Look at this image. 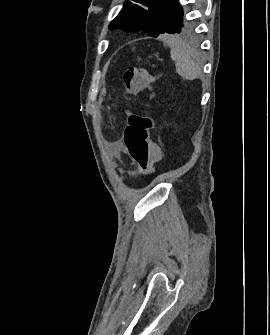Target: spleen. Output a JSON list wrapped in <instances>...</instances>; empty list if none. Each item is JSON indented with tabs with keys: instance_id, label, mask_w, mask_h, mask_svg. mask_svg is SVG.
<instances>
[{
	"instance_id": "spleen-1",
	"label": "spleen",
	"mask_w": 270,
	"mask_h": 335,
	"mask_svg": "<svg viewBox=\"0 0 270 335\" xmlns=\"http://www.w3.org/2000/svg\"><path fill=\"white\" fill-rule=\"evenodd\" d=\"M170 48V58L176 66L177 74L182 76L184 80H195L199 76L201 68H199V64L191 60L186 42L180 38H173L170 42Z\"/></svg>"
}]
</instances>
